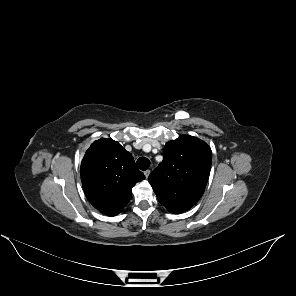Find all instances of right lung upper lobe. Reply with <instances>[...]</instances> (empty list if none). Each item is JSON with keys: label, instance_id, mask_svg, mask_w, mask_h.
<instances>
[{"label": "right lung upper lobe", "instance_id": "right-lung-upper-lobe-1", "mask_svg": "<svg viewBox=\"0 0 296 296\" xmlns=\"http://www.w3.org/2000/svg\"><path fill=\"white\" fill-rule=\"evenodd\" d=\"M81 181L87 199L101 213L121 212L132 197V187L145 179L133 156L117 141H94L81 162Z\"/></svg>", "mask_w": 296, "mask_h": 296}]
</instances>
